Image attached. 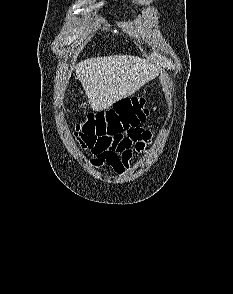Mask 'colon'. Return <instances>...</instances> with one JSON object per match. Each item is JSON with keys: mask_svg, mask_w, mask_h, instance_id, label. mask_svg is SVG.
<instances>
[{"mask_svg": "<svg viewBox=\"0 0 233 294\" xmlns=\"http://www.w3.org/2000/svg\"><path fill=\"white\" fill-rule=\"evenodd\" d=\"M148 114L144 97L122 99L106 112L89 114L76 126V135L94 153L122 149L133 138L126 132H136Z\"/></svg>", "mask_w": 233, "mask_h": 294, "instance_id": "5ec220e1", "label": "colon"}]
</instances>
